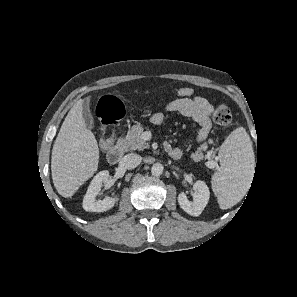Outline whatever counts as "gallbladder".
<instances>
[{
	"label": "gallbladder",
	"instance_id": "1",
	"mask_svg": "<svg viewBox=\"0 0 297 297\" xmlns=\"http://www.w3.org/2000/svg\"><path fill=\"white\" fill-rule=\"evenodd\" d=\"M89 104H90V99H86L85 102L83 103V118H84L86 126L89 129H91L95 125V120H94V117L90 111Z\"/></svg>",
	"mask_w": 297,
	"mask_h": 297
}]
</instances>
